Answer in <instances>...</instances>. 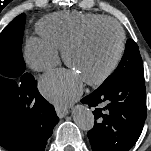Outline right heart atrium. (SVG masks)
Instances as JSON below:
<instances>
[{
  "label": "right heart atrium",
  "mask_w": 151,
  "mask_h": 151,
  "mask_svg": "<svg viewBox=\"0 0 151 151\" xmlns=\"http://www.w3.org/2000/svg\"><path fill=\"white\" fill-rule=\"evenodd\" d=\"M25 58L35 71H47L58 61V50L42 38L31 37L25 47Z\"/></svg>",
  "instance_id": "obj_1"
}]
</instances>
